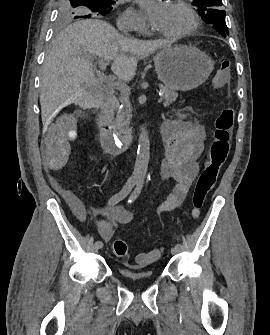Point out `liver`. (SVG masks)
Segmentation results:
<instances>
[{"label":"liver","mask_w":270,"mask_h":335,"mask_svg":"<svg viewBox=\"0 0 270 335\" xmlns=\"http://www.w3.org/2000/svg\"><path fill=\"white\" fill-rule=\"evenodd\" d=\"M166 46L167 40L124 38L103 20L69 24L57 34L44 60L40 86L42 122H50L72 102L88 106L100 84L93 74L91 54L112 62L113 74L128 82L137 70L136 56H149Z\"/></svg>","instance_id":"6515ba94"}]
</instances>
